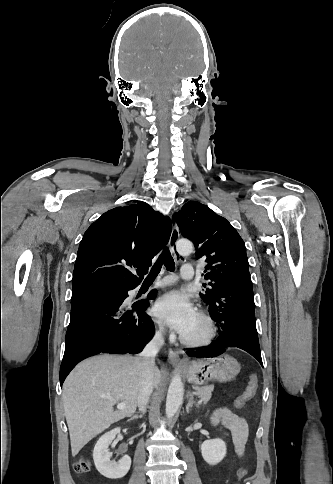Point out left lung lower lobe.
Listing matches in <instances>:
<instances>
[{
  "label": "left lung lower lobe",
  "mask_w": 333,
  "mask_h": 484,
  "mask_svg": "<svg viewBox=\"0 0 333 484\" xmlns=\"http://www.w3.org/2000/svg\"><path fill=\"white\" fill-rule=\"evenodd\" d=\"M219 292L209 313L218 325L219 337L209 346L188 351V356L215 357L229 347L245 350L263 366L255 322V304L248 266L225 271L218 281Z\"/></svg>",
  "instance_id": "left-lung-lower-lobe-1"
}]
</instances>
